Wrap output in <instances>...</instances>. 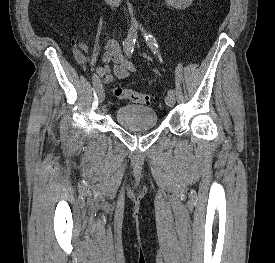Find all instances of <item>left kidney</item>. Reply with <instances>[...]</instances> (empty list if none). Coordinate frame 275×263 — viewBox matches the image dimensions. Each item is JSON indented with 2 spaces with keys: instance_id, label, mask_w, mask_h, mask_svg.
Returning a JSON list of instances; mask_svg holds the SVG:
<instances>
[{
  "instance_id": "left-kidney-1",
  "label": "left kidney",
  "mask_w": 275,
  "mask_h": 263,
  "mask_svg": "<svg viewBox=\"0 0 275 263\" xmlns=\"http://www.w3.org/2000/svg\"><path fill=\"white\" fill-rule=\"evenodd\" d=\"M193 0H166V2L176 9H184L191 5Z\"/></svg>"
}]
</instances>
